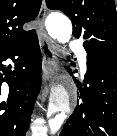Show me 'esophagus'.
Returning <instances> with one entry per match:
<instances>
[{
	"instance_id": "esophagus-1",
	"label": "esophagus",
	"mask_w": 117,
	"mask_h": 136,
	"mask_svg": "<svg viewBox=\"0 0 117 136\" xmlns=\"http://www.w3.org/2000/svg\"><path fill=\"white\" fill-rule=\"evenodd\" d=\"M46 3L43 0L37 17L38 20V39L43 54L42 79L44 82L54 78V71H57L56 49L45 30Z\"/></svg>"
}]
</instances>
